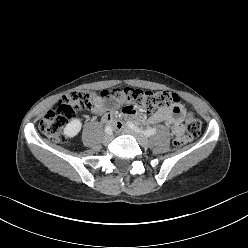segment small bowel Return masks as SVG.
Returning <instances> with one entry per match:
<instances>
[{"mask_svg":"<svg viewBox=\"0 0 248 248\" xmlns=\"http://www.w3.org/2000/svg\"><path fill=\"white\" fill-rule=\"evenodd\" d=\"M93 113L100 116L102 120L114 128H122L123 123L114 116L115 108L121 105L118 99L114 101L97 96L93 101ZM124 115L128 119L138 120L143 124L165 123L175 136L184 133L182 122L185 117V109L182 105H172L160 107L151 117L140 118L137 116L135 109L126 106L123 109Z\"/></svg>","mask_w":248,"mask_h":248,"instance_id":"obj_1","label":"small bowel"}]
</instances>
